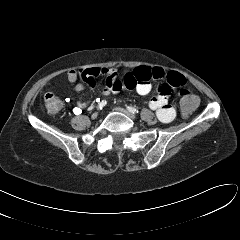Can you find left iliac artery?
<instances>
[{
	"mask_svg": "<svg viewBox=\"0 0 240 240\" xmlns=\"http://www.w3.org/2000/svg\"><path fill=\"white\" fill-rule=\"evenodd\" d=\"M127 110L133 114L138 113V109L135 107L127 106Z\"/></svg>",
	"mask_w": 240,
	"mask_h": 240,
	"instance_id": "1",
	"label": "left iliac artery"
}]
</instances>
